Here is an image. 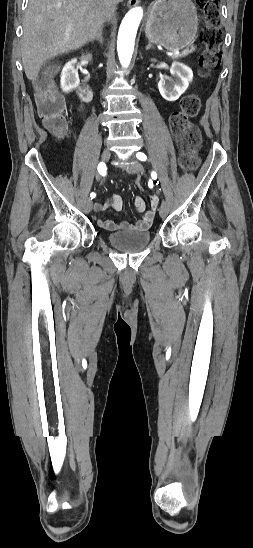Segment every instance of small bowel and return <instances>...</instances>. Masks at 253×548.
Segmentation results:
<instances>
[{"label": "small bowel", "mask_w": 253, "mask_h": 548, "mask_svg": "<svg viewBox=\"0 0 253 548\" xmlns=\"http://www.w3.org/2000/svg\"><path fill=\"white\" fill-rule=\"evenodd\" d=\"M157 204L158 198L153 196L150 200V209L146 210V204L143 198L136 196L134 198V207L137 212L142 214V216L135 224L127 221L114 222L111 220H103L101 218H97L96 223L98 226L109 231H144L149 227L154 218ZM108 207H112L116 211L122 210L123 200L121 196L118 194H113L106 203H96L94 209L99 212L107 209Z\"/></svg>", "instance_id": "1"}]
</instances>
